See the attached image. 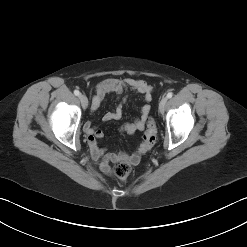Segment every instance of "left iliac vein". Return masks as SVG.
Wrapping results in <instances>:
<instances>
[{
	"instance_id": "1",
	"label": "left iliac vein",
	"mask_w": 247,
	"mask_h": 247,
	"mask_svg": "<svg viewBox=\"0 0 247 247\" xmlns=\"http://www.w3.org/2000/svg\"><path fill=\"white\" fill-rule=\"evenodd\" d=\"M166 104H167V98L166 97H163L159 103V110L160 112H164L165 110V107H166Z\"/></svg>"
}]
</instances>
